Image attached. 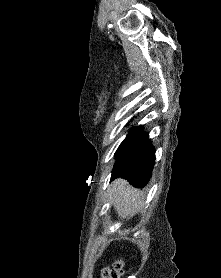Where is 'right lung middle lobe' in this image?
<instances>
[{
	"instance_id": "dd1d6c3e",
	"label": "right lung middle lobe",
	"mask_w": 221,
	"mask_h": 278,
	"mask_svg": "<svg viewBox=\"0 0 221 278\" xmlns=\"http://www.w3.org/2000/svg\"><path fill=\"white\" fill-rule=\"evenodd\" d=\"M141 129V126L134 127L130 130L124 141L121 143L119 148H121L123 145H125L130 139H132ZM118 148V149H119Z\"/></svg>"
}]
</instances>
